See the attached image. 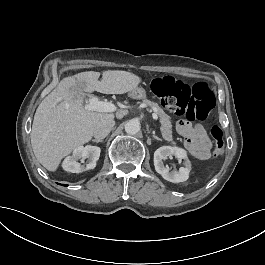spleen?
Segmentation results:
<instances>
[{
	"instance_id": "obj_1",
	"label": "spleen",
	"mask_w": 265,
	"mask_h": 265,
	"mask_svg": "<svg viewBox=\"0 0 265 265\" xmlns=\"http://www.w3.org/2000/svg\"><path fill=\"white\" fill-rule=\"evenodd\" d=\"M216 169V166H214L211 172L209 173L208 177L204 180V182H207L215 174Z\"/></svg>"
}]
</instances>
